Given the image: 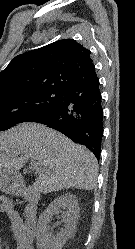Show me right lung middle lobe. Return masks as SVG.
<instances>
[{
	"label": "right lung middle lobe",
	"mask_w": 135,
	"mask_h": 249,
	"mask_svg": "<svg viewBox=\"0 0 135 249\" xmlns=\"http://www.w3.org/2000/svg\"><path fill=\"white\" fill-rule=\"evenodd\" d=\"M62 92L35 91L0 97V131L27 122L32 116L54 104Z\"/></svg>",
	"instance_id": "dd1d6c3e"
}]
</instances>
